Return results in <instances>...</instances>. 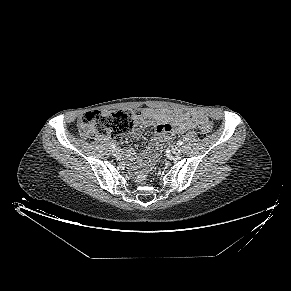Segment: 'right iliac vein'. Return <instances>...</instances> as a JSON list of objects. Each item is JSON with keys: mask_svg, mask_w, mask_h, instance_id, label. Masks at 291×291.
Masks as SVG:
<instances>
[{"mask_svg": "<svg viewBox=\"0 0 291 291\" xmlns=\"http://www.w3.org/2000/svg\"><path fill=\"white\" fill-rule=\"evenodd\" d=\"M112 153L114 156H119L121 154V151L120 149L116 148V149H113Z\"/></svg>", "mask_w": 291, "mask_h": 291, "instance_id": "1", "label": "right iliac vein"}]
</instances>
